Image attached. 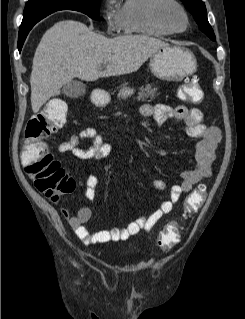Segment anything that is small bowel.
<instances>
[{"label": "small bowel", "mask_w": 245, "mask_h": 319, "mask_svg": "<svg viewBox=\"0 0 245 319\" xmlns=\"http://www.w3.org/2000/svg\"><path fill=\"white\" fill-rule=\"evenodd\" d=\"M139 115L143 119L153 118L157 124H162L168 119L183 121L187 136L200 140L196 146L193 165L182 172L181 183L171 187L168 200L163 201L149 216L136 217L122 229L102 230L92 234L85 227L92 215L89 207H82L75 214H71L68 209H62V216L68 220L77 237L85 245L126 240L141 231L149 232L163 216L173 210L182 194L191 191L195 185L211 174L215 149L221 140V132L216 127L206 126L202 123L203 113L200 109L184 105L170 107L165 104L155 106L144 104L140 107ZM88 139L93 141V145L87 149L80 148V142ZM58 150L62 153H72L82 160H100L107 157L112 148L96 129L87 127L71 134L66 141L58 145ZM99 183L97 175H89L85 179V195L89 200L95 198ZM153 184L158 189L164 187L163 181L159 179L154 180Z\"/></svg>", "instance_id": "obj_1"}]
</instances>
